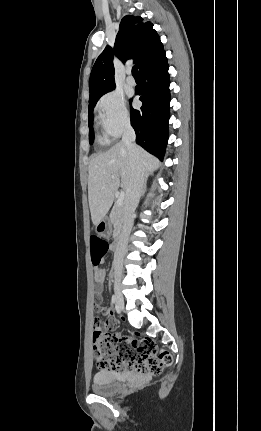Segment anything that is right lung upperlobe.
I'll list each match as a JSON object with an SVG mask.
<instances>
[{
  "label": "right lung upper lobe",
  "mask_w": 261,
  "mask_h": 431,
  "mask_svg": "<svg viewBox=\"0 0 261 431\" xmlns=\"http://www.w3.org/2000/svg\"><path fill=\"white\" fill-rule=\"evenodd\" d=\"M163 50L153 24L137 16H124L116 36L114 49L106 46L98 56L90 75V98L115 87L113 56L121 61L134 59L140 69Z\"/></svg>",
  "instance_id": "obj_1"
}]
</instances>
